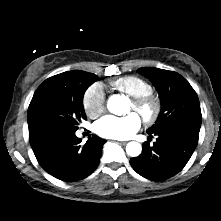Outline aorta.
Returning <instances> with one entry per match:
<instances>
[{
    "mask_svg": "<svg viewBox=\"0 0 221 221\" xmlns=\"http://www.w3.org/2000/svg\"><path fill=\"white\" fill-rule=\"evenodd\" d=\"M124 97L120 95H113L109 98L107 107L110 112L119 114L118 106L124 102ZM142 147L141 144L135 141L129 142L126 146V152L131 157H137L141 154Z\"/></svg>",
    "mask_w": 221,
    "mask_h": 221,
    "instance_id": "762f6f07",
    "label": "aorta"
}]
</instances>
